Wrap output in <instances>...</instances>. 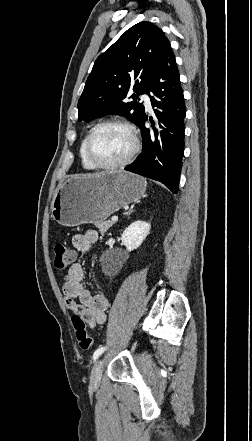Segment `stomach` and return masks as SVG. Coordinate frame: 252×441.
<instances>
[{"mask_svg":"<svg viewBox=\"0 0 252 441\" xmlns=\"http://www.w3.org/2000/svg\"><path fill=\"white\" fill-rule=\"evenodd\" d=\"M144 178L125 171H106L66 180L51 203V216L63 226L104 221L145 193Z\"/></svg>","mask_w":252,"mask_h":441,"instance_id":"stomach-1","label":"stomach"}]
</instances>
